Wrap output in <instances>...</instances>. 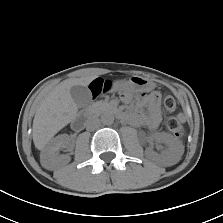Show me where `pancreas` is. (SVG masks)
Masks as SVG:
<instances>
[{
	"instance_id": "pancreas-1",
	"label": "pancreas",
	"mask_w": 223,
	"mask_h": 223,
	"mask_svg": "<svg viewBox=\"0 0 223 223\" xmlns=\"http://www.w3.org/2000/svg\"><path fill=\"white\" fill-rule=\"evenodd\" d=\"M110 108V105L108 102L105 101H98L92 104L91 110L95 113H100L105 110H108Z\"/></svg>"
}]
</instances>
